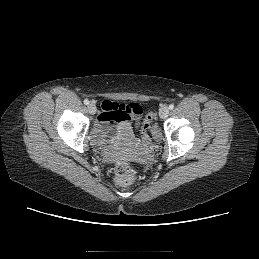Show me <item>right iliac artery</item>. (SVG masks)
Wrapping results in <instances>:
<instances>
[{"label": "right iliac artery", "instance_id": "82829eb1", "mask_svg": "<svg viewBox=\"0 0 259 259\" xmlns=\"http://www.w3.org/2000/svg\"><path fill=\"white\" fill-rule=\"evenodd\" d=\"M84 104L85 105H88L89 104V101L87 99L84 100Z\"/></svg>", "mask_w": 259, "mask_h": 259}]
</instances>
